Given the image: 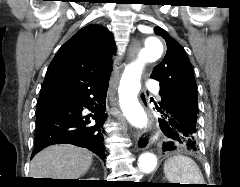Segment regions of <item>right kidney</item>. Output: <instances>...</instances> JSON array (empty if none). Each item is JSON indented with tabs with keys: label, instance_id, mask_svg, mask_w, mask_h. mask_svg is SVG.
Here are the masks:
<instances>
[{
	"label": "right kidney",
	"instance_id": "1",
	"mask_svg": "<svg viewBox=\"0 0 240 187\" xmlns=\"http://www.w3.org/2000/svg\"><path fill=\"white\" fill-rule=\"evenodd\" d=\"M96 178H90V180H95Z\"/></svg>",
	"mask_w": 240,
	"mask_h": 187
}]
</instances>
